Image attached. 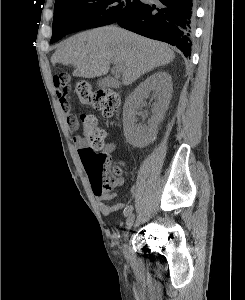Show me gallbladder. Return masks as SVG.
<instances>
[{"label":"gallbladder","mask_w":245,"mask_h":300,"mask_svg":"<svg viewBox=\"0 0 245 300\" xmlns=\"http://www.w3.org/2000/svg\"><path fill=\"white\" fill-rule=\"evenodd\" d=\"M118 82L111 77H103L99 79L98 86L100 87H117Z\"/></svg>","instance_id":"gallbladder-1"}]
</instances>
